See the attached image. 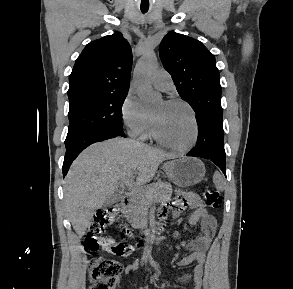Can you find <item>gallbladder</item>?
I'll return each mask as SVG.
<instances>
[{"instance_id": "1", "label": "gallbladder", "mask_w": 293, "mask_h": 289, "mask_svg": "<svg viewBox=\"0 0 293 289\" xmlns=\"http://www.w3.org/2000/svg\"><path fill=\"white\" fill-rule=\"evenodd\" d=\"M121 200V195L119 193H115L112 196H110L107 201L104 203V206H109L114 203H117Z\"/></svg>"}]
</instances>
